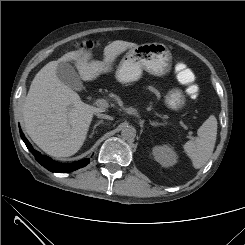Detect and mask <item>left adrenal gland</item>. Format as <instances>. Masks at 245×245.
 <instances>
[{"label": "left adrenal gland", "instance_id": "obj_1", "mask_svg": "<svg viewBox=\"0 0 245 245\" xmlns=\"http://www.w3.org/2000/svg\"><path fill=\"white\" fill-rule=\"evenodd\" d=\"M150 124H151L152 126L164 125L163 123L154 122V121H151V120H150Z\"/></svg>", "mask_w": 245, "mask_h": 245}]
</instances>
